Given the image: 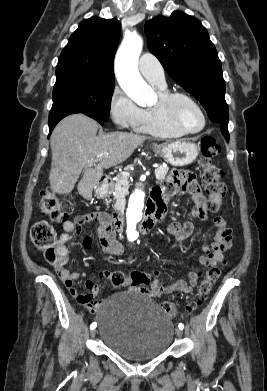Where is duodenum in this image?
<instances>
[{"instance_id":"duodenum-1","label":"duodenum","mask_w":267,"mask_h":391,"mask_svg":"<svg viewBox=\"0 0 267 391\" xmlns=\"http://www.w3.org/2000/svg\"><path fill=\"white\" fill-rule=\"evenodd\" d=\"M107 182H108L107 177L100 178L98 181V184H97V189L102 190V188L106 186ZM158 219H159V213H158L157 209H155L154 207H149L148 212L146 213V215L144 216V218L141 221V224H140L141 231L143 233L151 232ZM111 225H112L113 230L116 232H122L124 230L125 219H124V214L122 211L117 210L112 215Z\"/></svg>"}]
</instances>
